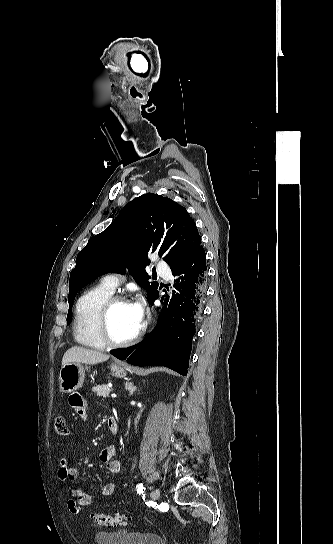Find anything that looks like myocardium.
<instances>
[{"label":"myocardium","mask_w":333,"mask_h":544,"mask_svg":"<svg viewBox=\"0 0 333 544\" xmlns=\"http://www.w3.org/2000/svg\"><path fill=\"white\" fill-rule=\"evenodd\" d=\"M120 303H128V300L121 295L111 296L102 306L98 317V332L101 340L106 346L119 348L135 343L142 334V326H139L136 333L126 340H116L112 337L109 327V318L112 309Z\"/></svg>","instance_id":"1"}]
</instances>
